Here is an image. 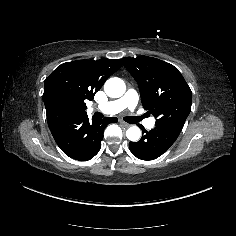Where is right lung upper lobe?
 <instances>
[{
    "instance_id": "obj_1",
    "label": "right lung upper lobe",
    "mask_w": 236,
    "mask_h": 236,
    "mask_svg": "<svg viewBox=\"0 0 236 236\" xmlns=\"http://www.w3.org/2000/svg\"><path fill=\"white\" fill-rule=\"evenodd\" d=\"M121 66L122 59L77 60L58 66L44 83L48 123L86 114L85 102Z\"/></svg>"
}]
</instances>
